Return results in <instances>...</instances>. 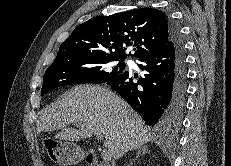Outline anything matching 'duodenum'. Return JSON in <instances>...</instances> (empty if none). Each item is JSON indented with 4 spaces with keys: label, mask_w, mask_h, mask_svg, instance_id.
I'll use <instances>...</instances> for the list:
<instances>
[{
    "label": "duodenum",
    "mask_w": 231,
    "mask_h": 166,
    "mask_svg": "<svg viewBox=\"0 0 231 166\" xmlns=\"http://www.w3.org/2000/svg\"><path fill=\"white\" fill-rule=\"evenodd\" d=\"M85 163L87 166H98L99 164V157L94 152H87L85 156Z\"/></svg>",
    "instance_id": "obj_1"
}]
</instances>
